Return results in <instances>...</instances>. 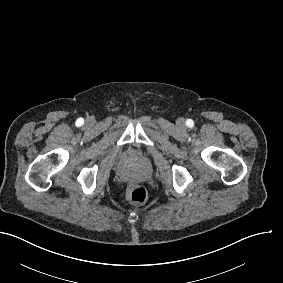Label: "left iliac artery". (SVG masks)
Returning a JSON list of instances; mask_svg holds the SVG:
<instances>
[{"mask_svg":"<svg viewBox=\"0 0 283 283\" xmlns=\"http://www.w3.org/2000/svg\"><path fill=\"white\" fill-rule=\"evenodd\" d=\"M186 125L189 126V127H192L194 125V122L191 119H188L186 121Z\"/></svg>","mask_w":283,"mask_h":283,"instance_id":"obj_1","label":"left iliac artery"}]
</instances>
